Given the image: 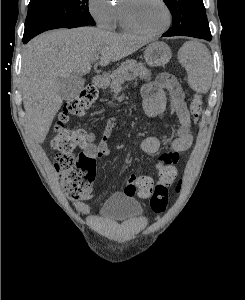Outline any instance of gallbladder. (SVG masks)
I'll list each match as a JSON object with an SVG mask.
<instances>
[{
    "instance_id": "obj_1",
    "label": "gallbladder",
    "mask_w": 245,
    "mask_h": 300,
    "mask_svg": "<svg viewBox=\"0 0 245 300\" xmlns=\"http://www.w3.org/2000/svg\"><path fill=\"white\" fill-rule=\"evenodd\" d=\"M59 92L64 100L76 98L82 91L85 79L77 74H71L59 80Z\"/></svg>"
}]
</instances>
